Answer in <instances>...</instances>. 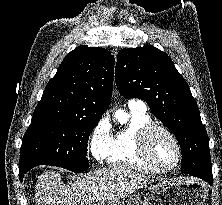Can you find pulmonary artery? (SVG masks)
<instances>
[{"label":"pulmonary artery","mask_w":222,"mask_h":205,"mask_svg":"<svg viewBox=\"0 0 222 205\" xmlns=\"http://www.w3.org/2000/svg\"><path fill=\"white\" fill-rule=\"evenodd\" d=\"M128 106H129V108H136V109H140L142 111H146V105L144 104V102H142L140 100H130L128 102Z\"/></svg>","instance_id":"e3ab8cb5"}]
</instances>
